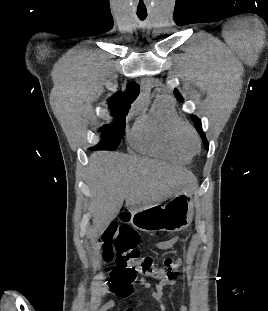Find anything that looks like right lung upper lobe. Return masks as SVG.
<instances>
[{
	"label": "right lung upper lobe",
	"mask_w": 268,
	"mask_h": 311,
	"mask_svg": "<svg viewBox=\"0 0 268 311\" xmlns=\"http://www.w3.org/2000/svg\"><path fill=\"white\" fill-rule=\"evenodd\" d=\"M139 95V85L135 82L127 84L124 93L117 92L114 97L108 99L109 108L116 112H128L131 103Z\"/></svg>",
	"instance_id": "1"
}]
</instances>
